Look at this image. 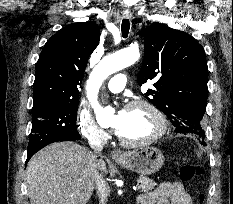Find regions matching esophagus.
I'll return each mask as SVG.
<instances>
[{
  "label": "esophagus",
  "mask_w": 233,
  "mask_h": 204,
  "mask_svg": "<svg viewBox=\"0 0 233 204\" xmlns=\"http://www.w3.org/2000/svg\"><path fill=\"white\" fill-rule=\"evenodd\" d=\"M122 16H123L124 18H131L132 14H131L130 11L124 10V11L122 12ZM111 157H112V159H114V160H120V159H123V158L125 157V153H124V151L116 150V151H113V152L111 153Z\"/></svg>",
  "instance_id": "obj_1"
}]
</instances>
